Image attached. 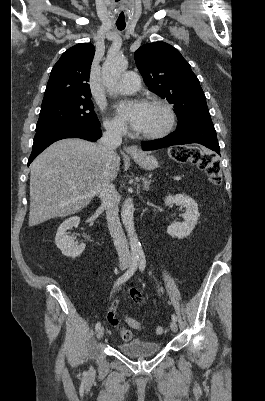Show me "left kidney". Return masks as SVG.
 <instances>
[{"mask_svg":"<svg viewBox=\"0 0 265 401\" xmlns=\"http://www.w3.org/2000/svg\"><path fill=\"white\" fill-rule=\"evenodd\" d=\"M164 203L166 207L175 203V205H180V207H185L186 209L184 215H182L183 223H175L174 221L167 229L168 235L177 237V239L189 237L195 225H197L198 217H200L197 203L193 201L191 196H186V194H169V196H166Z\"/></svg>","mask_w":265,"mask_h":401,"instance_id":"5707ae66","label":"left kidney"}]
</instances>
